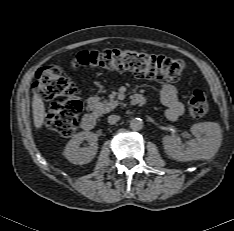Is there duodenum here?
<instances>
[{
	"label": "duodenum",
	"mask_w": 234,
	"mask_h": 231,
	"mask_svg": "<svg viewBox=\"0 0 234 231\" xmlns=\"http://www.w3.org/2000/svg\"><path fill=\"white\" fill-rule=\"evenodd\" d=\"M131 101L134 105H145L146 100L142 95L135 94L132 96ZM81 126L84 130L90 131L96 126V116L93 113H86L81 121Z\"/></svg>",
	"instance_id": "1"
}]
</instances>
